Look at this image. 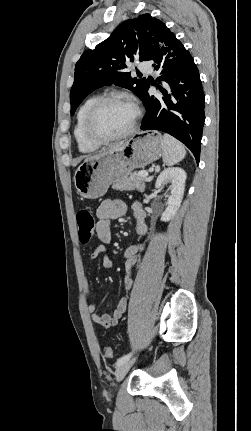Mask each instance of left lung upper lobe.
I'll list each match as a JSON object with an SVG mask.
<instances>
[{
    "label": "left lung upper lobe",
    "instance_id": "left-lung-upper-lobe-1",
    "mask_svg": "<svg viewBox=\"0 0 251 431\" xmlns=\"http://www.w3.org/2000/svg\"><path fill=\"white\" fill-rule=\"evenodd\" d=\"M170 33L162 21L143 14L124 21L95 49L85 51L75 66L71 115L87 95L103 86L115 84L127 88L141 99L148 82L145 78H132L126 63L149 61L154 47Z\"/></svg>",
    "mask_w": 251,
    "mask_h": 431
}]
</instances>
